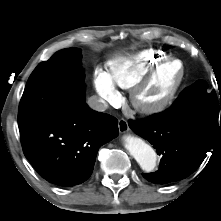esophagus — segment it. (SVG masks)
I'll return each mask as SVG.
<instances>
[{
	"label": "esophagus",
	"mask_w": 221,
	"mask_h": 221,
	"mask_svg": "<svg viewBox=\"0 0 221 221\" xmlns=\"http://www.w3.org/2000/svg\"><path fill=\"white\" fill-rule=\"evenodd\" d=\"M118 128L120 133H126L129 131L128 122L125 119H119L118 121Z\"/></svg>",
	"instance_id": "obj_1"
}]
</instances>
